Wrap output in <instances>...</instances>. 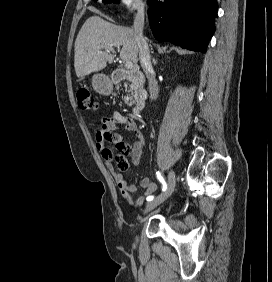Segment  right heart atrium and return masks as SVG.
I'll return each instance as SVG.
<instances>
[{
	"label": "right heart atrium",
	"mask_w": 272,
	"mask_h": 282,
	"mask_svg": "<svg viewBox=\"0 0 272 282\" xmlns=\"http://www.w3.org/2000/svg\"><path fill=\"white\" fill-rule=\"evenodd\" d=\"M143 0H119V7L126 13H132L143 9Z\"/></svg>",
	"instance_id": "right-heart-atrium-1"
}]
</instances>
